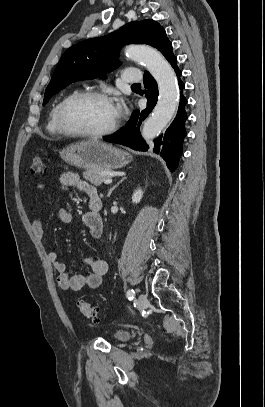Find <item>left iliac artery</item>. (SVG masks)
Masks as SVG:
<instances>
[{"instance_id":"44dca946","label":"left iliac artery","mask_w":265,"mask_h":407,"mask_svg":"<svg viewBox=\"0 0 265 407\" xmlns=\"http://www.w3.org/2000/svg\"><path fill=\"white\" fill-rule=\"evenodd\" d=\"M134 295H135V291L133 289H130L127 291V298L129 300H132L134 298Z\"/></svg>"}]
</instances>
